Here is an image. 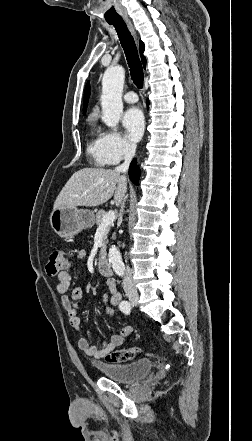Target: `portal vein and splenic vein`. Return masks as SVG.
Returning a JSON list of instances; mask_svg holds the SVG:
<instances>
[{"label":"portal vein and splenic vein","mask_w":252,"mask_h":441,"mask_svg":"<svg viewBox=\"0 0 252 441\" xmlns=\"http://www.w3.org/2000/svg\"><path fill=\"white\" fill-rule=\"evenodd\" d=\"M116 218V214L114 211L110 210L108 213H106L103 217L102 223L100 224V227H106L114 222Z\"/></svg>","instance_id":"18ae733b"}]
</instances>
